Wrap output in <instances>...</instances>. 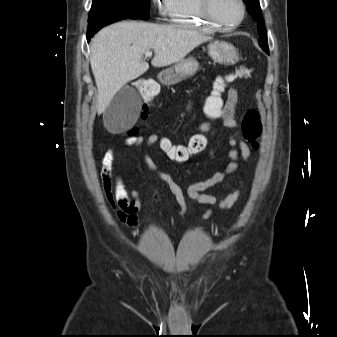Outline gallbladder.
<instances>
[{"label":"gallbladder","instance_id":"gallbladder-1","mask_svg":"<svg viewBox=\"0 0 337 337\" xmlns=\"http://www.w3.org/2000/svg\"><path fill=\"white\" fill-rule=\"evenodd\" d=\"M141 104L137 91L130 86H123L103 114L106 129L122 132L130 128L139 116Z\"/></svg>","mask_w":337,"mask_h":337}]
</instances>
